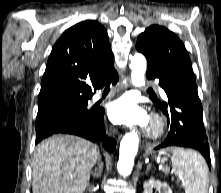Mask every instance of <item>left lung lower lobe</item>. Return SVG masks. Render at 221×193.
I'll use <instances>...</instances> for the list:
<instances>
[{
  "instance_id": "1",
  "label": "left lung lower lobe",
  "mask_w": 221,
  "mask_h": 193,
  "mask_svg": "<svg viewBox=\"0 0 221 193\" xmlns=\"http://www.w3.org/2000/svg\"><path fill=\"white\" fill-rule=\"evenodd\" d=\"M148 79H159L168 97V104L152 99L167 117L170 133L156 149L187 147L199 151L211 169L209 144L203 126V112L194 74L175 72L148 63Z\"/></svg>"
}]
</instances>
